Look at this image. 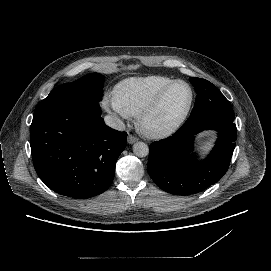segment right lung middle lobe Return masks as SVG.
Segmentation results:
<instances>
[{
  "mask_svg": "<svg viewBox=\"0 0 271 271\" xmlns=\"http://www.w3.org/2000/svg\"><path fill=\"white\" fill-rule=\"evenodd\" d=\"M103 83L104 76L90 73L74 82L62 84L36 106L34 116L63 107H94L100 110L98 102L103 95Z\"/></svg>",
  "mask_w": 271,
  "mask_h": 271,
  "instance_id": "obj_1",
  "label": "right lung middle lobe"
}]
</instances>
